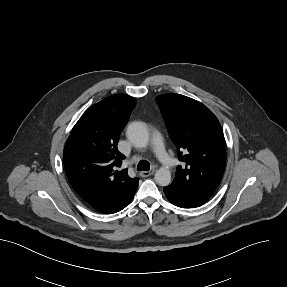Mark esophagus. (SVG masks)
Returning a JSON list of instances; mask_svg holds the SVG:
<instances>
[{"label":"esophagus","instance_id":"1","mask_svg":"<svg viewBox=\"0 0 287 287\" xmlns=\"http://www.w3.org/2000/svg\"><path fill=\"white\" fill-rule=\"evenodd\" d=\"M154 172H155L154 170L142 171V172H140V176L141 177H148V176H151Z\"/></svg>","mask_w":287,"mask_h":287}]
</instances>
